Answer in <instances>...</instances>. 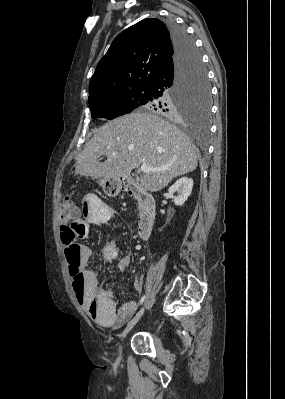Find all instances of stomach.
<instances>
[{"instance_id": "stomach-1", "label": "stomach", "mask_w": 285, "mask_h": 399, "mask_svg": "<svg viewBox=\"0 0 285 399\" xmlns=\"http://www.w3.org/2000/svg\"><path fill=\"white\" fill-rule=\"evenodd\" d=\"M99 182L104 192L110 197L117 196L122 189V181L120 178L107 180L102 179Z\"/></svg>"}]
</instances>
